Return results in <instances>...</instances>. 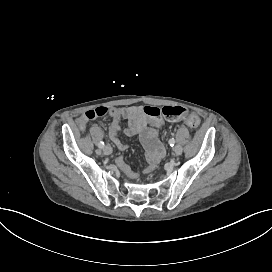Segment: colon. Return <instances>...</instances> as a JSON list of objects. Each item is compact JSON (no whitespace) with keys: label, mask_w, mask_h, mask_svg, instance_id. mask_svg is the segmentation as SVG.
Instances as JSON below:
<instances>
[{"label":"colon","mask_w":272,"mask_h":272,"mask_svg":"<svg viewBox=\"0 0 272 272\" xmlns=\"http://www.w3.org/2000/svg\"><path fill=\"white\" fill-rule=\"evenodd\" d=\"M108 113V109L105 106H98L87 110L81 119L78 120V125L84 127L86 121L103 117ZM186 113V109L180 105H168V106H155L149 107L145 114L149 117H166L169 120L179 119ZM189 125L194 126L197 124L196 119H191L188 122Z\"/></svg>","instance_id":"obj_1"}]
</instances>
